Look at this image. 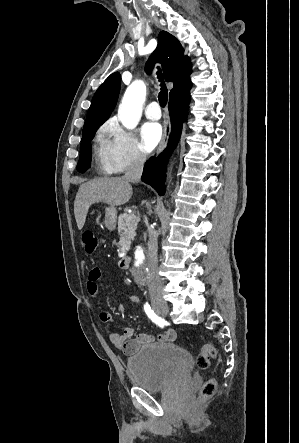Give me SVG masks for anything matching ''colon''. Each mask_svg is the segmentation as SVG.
<instances>
[{"mask_svg":"<svg viewBox=\"0 0 299 443\" xmlns=\"http://www.w3.org/2000/svg\"><path fill=\"white\" fill-rule=\"evenodd\" d=\"M82 242L85 252L89 255L96 253L98 249V237L93 230H84L82 233ZM216 349L211 344H204L201 347L200 353L197 356V365L201 369H207L210 366L211 360L216 357ZM217 388V381L215 378L208 379L201 387L199 400L204 401L211 398Z\"/></svg>","mask_w":299,"mask_h":443,"instance_id":"colon-1","label":"colon"}]
</instances>
